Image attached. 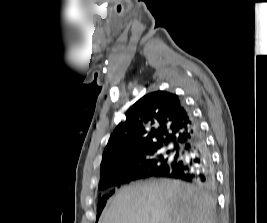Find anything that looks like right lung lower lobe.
<instances>
[{
	"mask_svg": "<svg viewBox=\"0 0 267 223\" xmlns=\"http://www.w3.org/2000/svg\"><path fill=\"white\" fill-rule=\"evenodd\" d=\"M153 176L179 179L206 188L214 187L215 175L212 158L198 126L197 135L181 147L176 162ZM136 179L137 177L133 175H117L113 179L107 180L102 188L119 187Z\"/></svg>",
	"mask_w": 267,
	"mask_h": 223,
	"instance_id": "obj_1",
	"label": "right lung lower lobe"
}]
</instances>
